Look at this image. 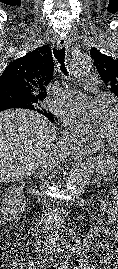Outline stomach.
Masks as SVG:
<instances>
[{
	"label": "stomach",
	"mask_w": 118,
	"mask_h": 269,
	"mask_svg": "<svg viewBox=\"0 0 118 269\" xmlns=\"http://www.w3.org/2000/svg\"><path fill=\"white\" fill-rule=\"evenodd\" d=\"M94 169L103 176L112 175L118 170V164L111 156H101L96 160Z\"/></svg>",
	"instance_id": "stomach-1"
}]
</instances>
